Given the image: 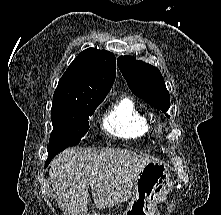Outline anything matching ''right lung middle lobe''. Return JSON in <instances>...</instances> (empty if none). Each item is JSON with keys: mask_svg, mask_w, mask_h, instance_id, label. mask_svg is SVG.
Returning <instances> with one entry per match:
<instances>
[{"mask_svg": "<svg viewBox=\"0 0 221 215\" xmlns=\"http://www.w3.org/2000/svg\"><path fill=\"white\" fill-rule=\"evenodd\" d=\"M103 100L86 103L52 105L53 131L47 148L51 160L69 146L77 145L89 130V117Z\"/></svg>", "mask_w": 221, "mask_h": 215, "instance_id": "right-lung-middle-lobe-1", "label": "right lung middle lobe"}]
</instances>
